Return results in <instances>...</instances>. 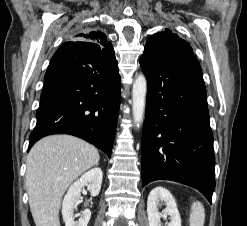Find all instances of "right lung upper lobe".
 I'll use <instances>...</instances> for the list:
<instances>
[{
	"label": "right lung upper lobe",
	"instance_id": "right-lung-upper-lobe-1",
	"mask_svg": "<svg viewBox=\"0 0 247 226\" xmlns=\"http://www.w3.org/2000/svg\"><path fill=\"white\" fill-rule=\"evenodd\" d=\"M74 37L76 40L96 44L104 48L112 46L111 43L108 42L106 35L99 30L83 31L76 34Z\"/></svg>",
	"mask_w": 247,
	"mask_h": 226
}]
</instances>
